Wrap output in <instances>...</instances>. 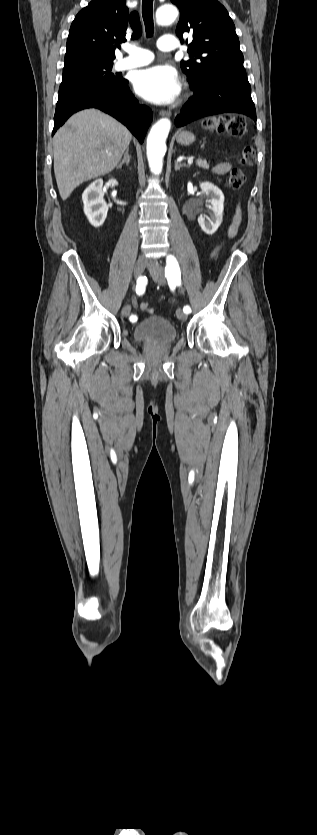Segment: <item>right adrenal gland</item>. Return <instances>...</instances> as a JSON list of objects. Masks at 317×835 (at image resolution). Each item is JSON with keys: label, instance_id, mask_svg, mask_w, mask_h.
I'll use <instances>...</instances> for the list:
<instances>
[{"label": "right adrenal gland", "instance_id": "2a0ac1e0", "mask_svg": "<svg viewBox=\"0 0 317 835\" xmlns=\"http://www.w3.org/2000/svg\"><path fill=\"white\" fill-rule=\"evenodd\" d=\"M128 152H129V147H127L126 152L124 154V157H123L122 161L119 163V165L117 166V169H121L123 164H125V163H126L127 166L129 165L130 155H129Z\"/></svg>", "mask_w": 317, "mask_h": 835}]
</instances>
